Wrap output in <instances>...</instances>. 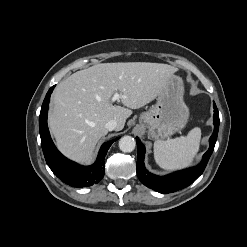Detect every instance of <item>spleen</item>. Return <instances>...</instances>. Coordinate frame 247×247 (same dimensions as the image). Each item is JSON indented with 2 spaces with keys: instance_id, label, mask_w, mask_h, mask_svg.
<instances>
[{
  "instance_id": "obj_1",
  "label": "spleen",
  "mask_w": 247,
  "mask_h": 247,
  "mask_svg": "<svg viewBox=\"0 0 247 247\" xmlns=\"http://www.w3.org/2000/svg\"><path fill=\"white\" fill-rule=\"evenodd\" d=\"M201 129L193 128L187 136L154 143L156 163L165 170H178L192 164L199 151Z\"/></svg>"
}]
</instances>
